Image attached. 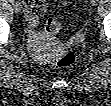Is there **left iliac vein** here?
<instances>
[{
	"label": "left iliac vein",
	"mask_w": 111,
	"mask_h": 106,
	"mask_svg": "<svg viewBox=\"0 0 111 106\" xmlns=\"http://www.w3.org/2000/svg\"><path fill=\"white\" fill-rule=\"evenodd\" d=\"M92 5H96L97 4V0H91Z\"/></svg>",
	"instance_id": "1"
}]
</instances>
